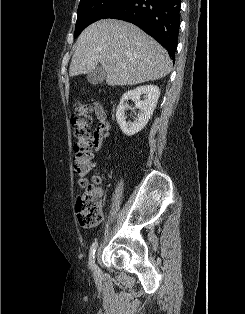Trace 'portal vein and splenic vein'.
<instances>
[{"mask_svg":"<svg viewBox=\"0 0 245 314\" xmlns=\"http://www.w3.org/2000/svg\"><path fill=\"white\" fill-rule=\"evenodd\" d=\"M116 56V54H113V57H115Z\"/></svg>","mask_w":245,"mask_h":314,"instance_id":"18ae733b","label":"portal vein and splenic vein"}]
</instances>
